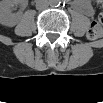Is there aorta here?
Here are the masks:
<instances>
[{
  "label": "aorta",
  "instance_id": "1",
  "mask_svg": "<svg viewBox=\"0 0 103 103\" xmlns=\"http://www.w3.org/2000/svg\"><path fill=\"white\" fill-rule=\"evenodd\" d=\"M57 4H58V3H57L56 1L51 2V5H52V6H57Z\"/></svg>",
  "mask_w": 103,
  "mask_h": 103
}]
</instances>
